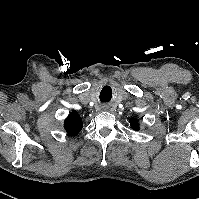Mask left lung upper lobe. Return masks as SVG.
<instances>
[{"instance_id": "obj_1", "label": "left lung upper lobe", "mask_w": 199, "mask_h": 199, "mask_svg": "<svg viewBox=\"0 0 199 199\" xmlns=\"http://www.w3.org/2000/svg\"><path fill=\"white\" fill-rule=\"evenodd\" d=\"M130 124H131V127L135 130H137L139 128V124H138V121L137 120H134V119H131L130 120Z\"/></svg>"}]
</instances>
